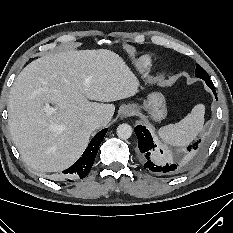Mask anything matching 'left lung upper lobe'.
<instances>
[{
	"instance_id": "left-lung-upper-lobe-1",
	"label": "left lung upper lobe",
	"mask_w": 233,
	"mask_h": 233,
	"mask_svg": "<svg viewBox=\"0 0 233 233\" xmlns=\"http://www.w3.org/2000/svg\"><path fill=\"white\" fill-rule=\"evenodd\" d=\"M195 75L199 78L208 76L207 72L198 64L196 66Z\"/></svg>"
}]
</instances>
